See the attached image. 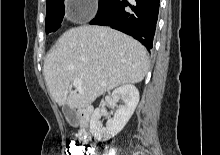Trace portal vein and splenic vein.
I'll use <instances>...</instances> for the list:
<instances>
[{"instance_id": "18ae733b", "label": "portal vein and splenic vein", "mask_w": 220, "mask_h": 155, "mask_svg": "<svg viewBox=\"0 0 220 155\" xmlns=\"http://www.w3.org/2000/svg\"><path fill=\"white\" fill-rule=\"evenodd\" d=\"M73 85H74V87H75L77 90H79L80 92L83 91V90H82V80H81V79L75 78V79L73 80Z\"/></svg>"}]
</instances>
